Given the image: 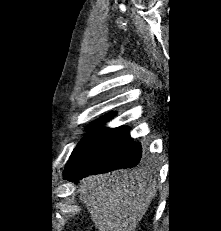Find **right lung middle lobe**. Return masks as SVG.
Masks as SVG:
<instances>
[{"label":"right lung middle lobe","mask_w":221,"mask_h":231,"mask_svg":"<svg viewBox=\"0 0 221 231\" xmlns=\"http://www.w3.org/2000/svg\"><path fill=\"white\" fill-rule=\"evenodd\" d=\"M115 115L116 113H110L108 115H105L101 117L99 120H97L95 123H91L88 126V130L90 132L78 143V145L72 152L67 165L74 164L77 161V159L100 138V136L103 134L106 128H98L99 124L110 120Z\"/></svg>","instance_id":"obj_1"}]
</instances>
